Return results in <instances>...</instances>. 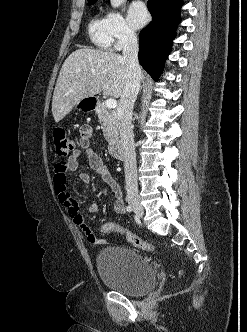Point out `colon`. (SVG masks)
<instances>
[{
    "instance_id": "colon-1",
    "label": "colon",
    "mask_w": 247,
    "mask_h": 332,
    "mask_svg": "<svg viewBox=\"0 0 247 332\" xmlns=\"http://www.w3.org/2000/svg\"><path fill=\"white\" fill-rule=\"evenodd\" d=\"M53 141L55 153L59 157L70 156L75 150L74 140L64 129L57 128L54 130ZM100 230L104 233H118L124 235L129 243L141 250L156 251V248L152 244L142 240L138 236L132 234L131 232L113 222H106L102 224L100 226Z\"/></svg>"
}]
</instances>
